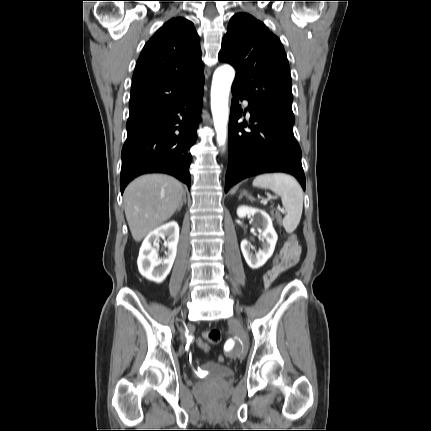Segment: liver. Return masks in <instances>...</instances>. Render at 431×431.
Listing matches in <instances>:
<instances>
[{
    "label": "liver",
    "mask_w": 431,
    "mask_h": 431,
    "mask_svg": "<svg viewBox=\"0 0 431 431\" xmlns=\"http://www.w3.org/2000/svg\"><path fill=\"white\" fill-rule=\"evenodd\" d=\"M184 194L182 184L164 174L136 178L123 195L126 219L136 242L167 221L178 209Z\"/></svg>",
    "instance_id": "obj_1"
}]
</instances>
